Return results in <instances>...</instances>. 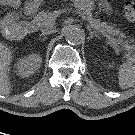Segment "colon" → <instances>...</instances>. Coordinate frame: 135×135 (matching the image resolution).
Wrapping results in <instances>:
<instances>
[{"mask_svg": "<svg viewBox=\"0 0 135 135\" xmlns=\"http://www.w3.org/2000/svg\"><path fill=\"white\" fill-rule=\"evenodd\" d=\"M124 10L126 18L131 22H135V0H128Z\"/></svg>", "mask_w": 135, "mask_h": 135, "instance_id": "5ec220e1", "label": "colon"}]
</instances>
